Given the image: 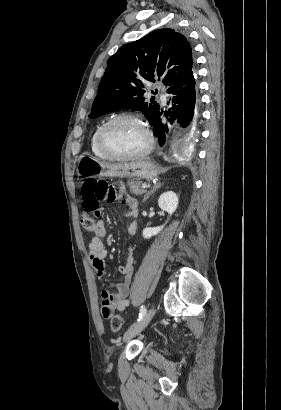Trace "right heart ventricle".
I'll use <instances>...</instances> for the list:
<instances>
[{"label": "right heart ventricle", "mask_w": 281, "mask_h": 410, "mask_svg": "<svg viewBox=\"0 0 281 410\" xmlns=\"http://www.w3.org/2000/svg\"><path fill=\"white\" fill-rule=\"evenodd\" d=\"M103 123L99 124L93 131L91 138H90V149L91 152L98 158L101 159H108V157L99 149L98 142H97V135L99 132L100 127Z\"/></svg>", "instance_id": "right-heart-ventricle-1"}]
</instances>
